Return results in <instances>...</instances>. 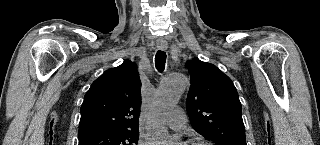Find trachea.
I'll use <instances>...</instances> for the list:
<instances>
[{"mask_svg": "<svg viewBox=\"0 0 320 145\" xmlns=\"http://www.w3.org/2000/svg\"><path fill=\"white\" fill-rule=\"evenodd\" d=\"M166 63V53L159 50L155 56V67L159 72L164 71Z\"/></svg>", "mask_w": 320, "mask_h": 145, "instance_id": "obj_1", "label": "trachea"}]
</instances>
